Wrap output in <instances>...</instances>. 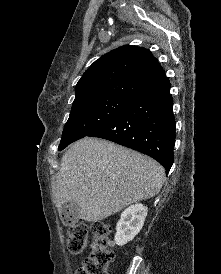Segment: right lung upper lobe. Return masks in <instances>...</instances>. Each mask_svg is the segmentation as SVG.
<instances>
[{
  "label": "right lung upper lobe",
  "mask_w": 221,
  "mask_h": 274,
  "mask_svg": "<svg viewBox=\"0 0 221 274\" xmlns=\"http://www.w3.org/2000/svg\"><path fill=\"white\" fill-rule=\"evenodd\" d=\"M165 78L150 51L125 45L106 53L86 70L76 85L75 100L101 96L134 99Z\"/></svg>",
  "instance_id": "1"
}]
</instances>
